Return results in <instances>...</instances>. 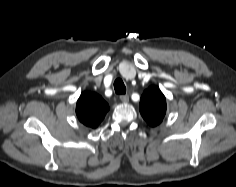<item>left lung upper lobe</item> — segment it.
<instances>
[{
    "instance_id": "obj_1",
    "label": "left lung upper lobe",
    "mask_w": 236,
    "mask_h": 187,
    "mask_svg": "<svg viewBox=\"0 0 236 187\" xmlns=\"http://www.w3.org/2000/svg\"><path fill=\"white\" fill-rule=\"evenodd\" d=\"M166 99L158 87H149L140 100V113L152 127L159 125L166 114Z\"/></svg>"
}]
</instances>
